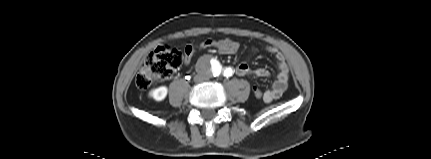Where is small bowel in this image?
Here are the masks:
<instances>
[{
	"instance_id": "1",
	"label": "small bowel",
	"mask_w": 431,
	"mask_h": 159,
	"mask_svg": "<svg viewBox=\"0 0 431 159\" xmlns=\"http://www.w3.org/2000/svg\"><path fill=\"white\" fill-rule=\"evenodd\" d=\"M217 48L219 49H234L236 52L239 50L240 45L238 42L230 40V39H222V40H205L202 42L197 48L188 46L185 49V59L184 62L186 65L190 64L192 58L197 50H204L207 48ZM266 50L273 54L278 67L277 78L274 81L271 89L265 90L263 98H261L265 103H270L276 99H278L287 89L288 81H289V68L283 57V55L277 50V48L273 46H267ZM232 73L235 72L238 76H256V77H268L269 72L264 68L252 69L247 60L240 62L235 69H231Z\"/></svg>"
}]
</instances>
